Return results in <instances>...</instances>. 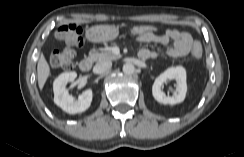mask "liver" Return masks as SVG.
I'll return each instance as SVG.
<instances>
[{"instance_id": "1", "label": "liver", "mask_w": 244, "mask_h": 157, "mask_svg": "<svg viewBox=\"0 0 244 157\" xmlns=\"http://www.w3.org/2000/svg\"><path fill=\"white\" fill-rule=\"evenodd\" d=\"M50 76V67L43 54L40 55L37 64V79L39 88L42 90L48 77Z\"/></svg>"}]
</instances>
